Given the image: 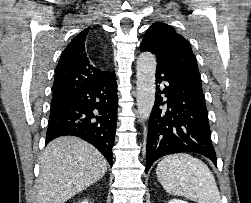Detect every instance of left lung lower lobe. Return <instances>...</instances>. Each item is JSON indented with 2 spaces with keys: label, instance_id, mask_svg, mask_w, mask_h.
<instances>
[{
  "label": "left lung lower lobe",
  "instance_id": "left-lung-lower-lobe-1",
  "mask_svg": "<svg viewBox=\"0 0 251 203\" xmlns=\"http://www.w3.org/2000/svg\"><path fill=\"white\" fill-rule=\"evenodd\" d=\"M156 84L148 126L146 172L160 157L180 152L199 153L216 165L202 89L182 71L165 63H157ZM161 94L168 98L166 102Z\"/></svg>",
  "mask_w": 251,
  "mask_h": 203
}]
</instances>
